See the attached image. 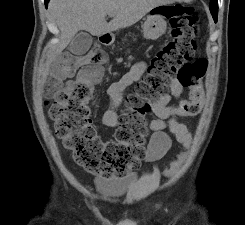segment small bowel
<instances>
[{
  "label": "small bowel",
  "mask_w": 245,
  "mask_h": 225,
  "mask_svg": "<svg viewBox=\"0 0 245 225\" xmlns=\"http://www.w3.org/2000/svg\"><path fill=\"white\" fill-rule=\"evenodd\" d=\"M145 68V62L136 63L129 72L122 75L118 81L113 82L108 87L107 94L109 96V103L102 115V122L105 126L112 129L119 126L117 108L121 104L122 93L128 86L142 77ZM97 72H101L100 67L93 66L84 71V73L91 74L92 76ZM183 88L178 79H173L170 83V92L161 96L152 104L151 111L154 118L150 120L149 124L152 135L149 139L144 156L137 160L138 163L134 167H137L141 162H155L165 155L171 145V138L168 135V131L173 134L176 140L184 147L187 144L185 136L191 138L189 132L177 122V108L170 104L172 99H177L181 96Z\"/></svg>",
  "instance_id": "obj_1"
}]
</instances>
